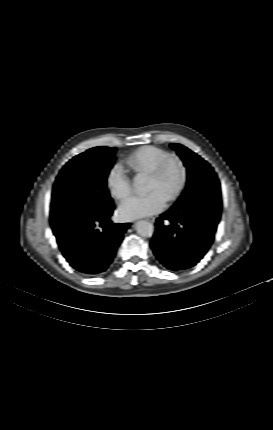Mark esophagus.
Masks as SVG:
<instances>
[{"label":"esophagus","mask_w":273,"mask_h":430,"mask_svg":"<svg viewBox=\"0 0 273 430\" xmlns=\"http://www.w3.org/2000/svg\"><path fill=\"white\" fill-rule=\"evenodd\" d=\"M147 220L153 223L155 221V218L154 217H150V218H147Z\"/></svg>","instance_id":"1"}]
</instances>
